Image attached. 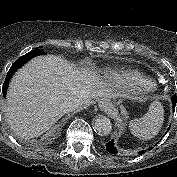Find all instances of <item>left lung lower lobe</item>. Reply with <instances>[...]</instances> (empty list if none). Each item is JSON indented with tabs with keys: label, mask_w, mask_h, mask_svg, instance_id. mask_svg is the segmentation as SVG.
Instances as JSON below:
<instances>
[{
	"label": "left lung lower lobe",
	"mask_w": 177,
	"mask_h": 177,
	"mask_svg": "<svg viewBox=\"0 0 177 177\" xmlns=\"http://www.w3.org/2000/svg\"><path fill=\"white\" fill-rule=\"evenodd\" d=\"M171 101H172V107L175 108V106H176V94H174V95L172 96ZM169 129H170V127H169ZM169 129H168V130H169ZM168 130H167V131H168ZM106 150H107L109 153H111V154H117V150H116V148L114 147L113 140H111L110 142L106 143ZM148 150H151V148H149ZM145 152H146V150H145ZM143 153H144V151L139 152V154H143Z\"/></svg>",
	"instance_id": "left-lung-lower-lobe-1"
}]
</instances>
